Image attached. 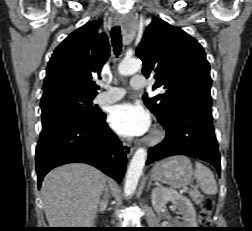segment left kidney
Masks as SVG:
<instances>
[{
    "label": "left kidney",
    "instance_id": "1",
    "mask_svg": "<svg viewBox=\"0 0 252 231\" xmlns=\"http://www.w3.org/2000/svg\"><path fill=\"white\" fill-rule=\"evenodd\" d=\"M151 200L154 209L161 212L168 201H171L179 214L182 215L183 222L180 223L181 228H196V211L191 201L179 194L177 191L156 187L152 190Z\"/></svg>",
    "mask_w": 252,
    "mask_h": 231
}]
</instances>
